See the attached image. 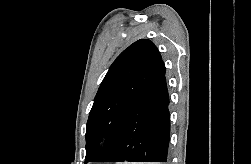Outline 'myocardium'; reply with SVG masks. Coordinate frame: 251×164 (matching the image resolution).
<instances>
[{"mask_svg":"<svg viewBox=\"0 0 251 164\" xmlns=\"http://www.w3.org/2000/svg\"><path fill=\"white\" fill-rule=\"evenodd\" d=\"M113 139L110 134H104L97 142L96 148L98 151H105L112 145Z\"/></svg>","mask_w":251,"mask_h":164,"instance_id":"myocardium-1","label":"myocardium"}]
</instances>
